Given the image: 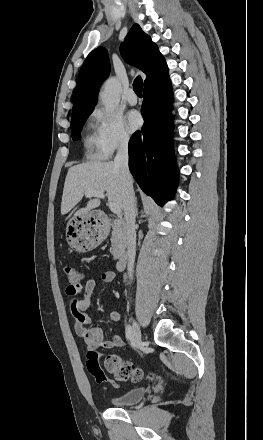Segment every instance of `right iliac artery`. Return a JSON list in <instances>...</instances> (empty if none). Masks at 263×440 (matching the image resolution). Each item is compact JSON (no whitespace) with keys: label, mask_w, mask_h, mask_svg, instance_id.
<instances>
[{"label":"right iliac artery","mask_w":263,"mask_h":440,"mask_svg":"<svg viewBox=\"0 0 263 440\" xmlns=\"http://www.w3.org/2000/svg\"><path fill=\"white\" fill-rule=\"evenodd\" d=\"M126 339L131 340L132 339V327L130 325L126 326Z\"/></svg>","instance_id":"right-iliac-artery-1"}]
</instances>
